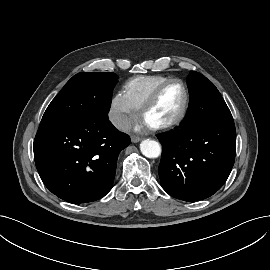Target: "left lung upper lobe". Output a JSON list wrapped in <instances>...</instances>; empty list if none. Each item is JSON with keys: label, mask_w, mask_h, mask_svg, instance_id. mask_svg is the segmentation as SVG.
Returning a JSON list of instances; mask_svg holds the SVG:
<instances>
[{"label": "left lung upper lobe", "mask_w": 270, "mask_h": 270, "mask_svg": "<svg viewBox=\"0 0 270 270\" xmlns=\"http://www.w3.org/2000/svg\"><path fill=\"white\" fill-rule=\"evenodd\" d=\"M189 106L197 122H233L231 112L214 84L202 74L191 71L187 77Z\"/></svg>", "instance_id": "5c2ea615"}]
</instances>
